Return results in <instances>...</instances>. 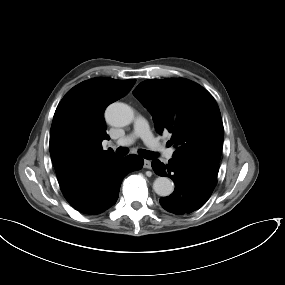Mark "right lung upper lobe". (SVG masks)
<instances>
[{"mask_svg": "<svg viewBox=\"0 0 285 285\" xmlns=\"http://www.w3.org/2000/svg\"><path fill=\"white\" fill-rule=\"evenodd\" d=\"M135 82V79H89L73 87L59 103L49 149L66 199L100 169L119 159L112 149H102V141L109 139L103 114L110 103L127 95Z\"/></svg>", "mask_w": 285, "mask_h": 285, "instance_id": "1", "label": "right lung upper lobe"}]
</instances>
